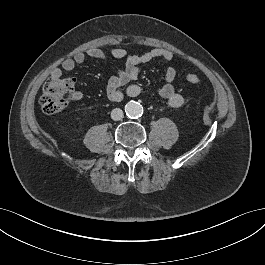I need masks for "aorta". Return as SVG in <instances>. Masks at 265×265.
Wrapping results in <instances>:
<instances>
[{"label": "aorta", "instance_id": "aorta-1", "mask_svg": "<svg viewBox=\"0 0 265 265\" xmlns=\"http://www.w3.org/2000/svg\"><path fill=\"white\" fill-rule=\"evenodd\" d=\"M126 115L130 118H136L142 115L143 107L136 101H130L125 106Z\"/></svg>", "mask_w": 265, "mask_h": 265}]
</instances>
